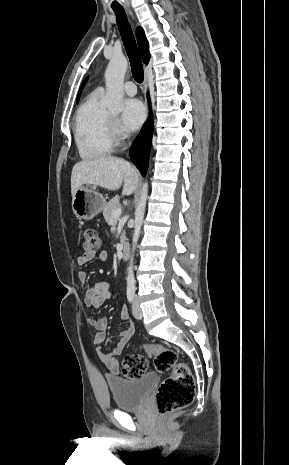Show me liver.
Wrapping results in <instances>:
<instances>
[{"mask_svg": "<svg viewBox=\"0 0 289 465\" xmlns=\"http://www.w3.org/2000/svg\"><path fill=\"white\" fill-rule=\"evenodd\" d=\"M139 173L122 158L102 157L83 160L74 165L71 174V194L84 184L96 185L108 190H118L123 184V195H131L137 188Z\"/></svg>", "mask_w": 289, "mask_h": 465, "instance_id": "1", "label": "liver"}]
</instances>
